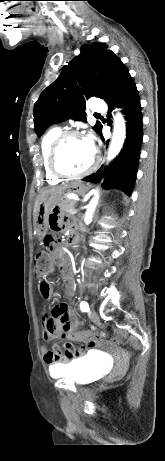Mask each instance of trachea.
Instances as JSON below:
<instances>
[{
	"label": "trachea",
	"instance_id": "3493384b",
	"mask_svg": "<svg viewBox=\"0 0 165 461\" xmlns=\"http://www.w3.org/2000/svg\"><path fill=\"white\" fill-rule=\"evenodd\" d=\"M94 116H100V114H98V113H95V114H94Z\"/></svg>",
	"mask_w": 165,
	"mask_h": 461
}]
</instances>
